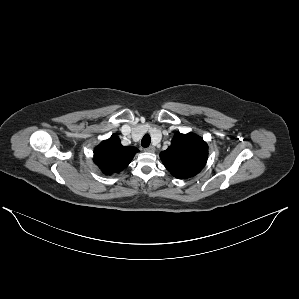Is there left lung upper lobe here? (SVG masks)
Returning <instances> with one entry per match:
<instances>
[{
  "label": "left lung upper lobe",
  "mask_w": 299,
  "mask_h": 299,
  "mask_svg": "<svg viewBox=\"0 0 299 299\" xmlns=\"http://www.w3.org/2000/svg\"><path fill=\"white\" fill-rule=\"evenodd\" d=\"M208 146L200 136L177 132L167 150L160 153L164 166L173 176L187 179L198 174L206 164Z\"/></svg>",
  "instance_id": "obj_1"
}]
</instances>
